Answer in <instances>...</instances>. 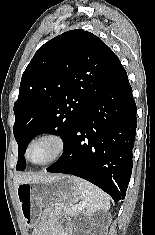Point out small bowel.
<instances>
[{
	"mask_svg": "<svg viewBox=\"0 0 155 235\" xmlns=\"http://www.w3.org/2000/svg\"><path fill=\"white\" fill-rule=\"evenodd\" d=\"M67 219L54 210L44 214V221L34 235H69L66 230ZM60 231V232H59Z\"/></svg>",
	"mask_w": 155,
	"mask_h": 235,
	"instance_id": "small-bowel-1",
	"label": "small bowel"
}]
</instances>
